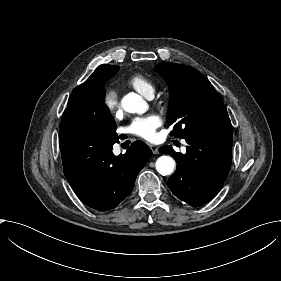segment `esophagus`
Masks as SVG:
<instances>
[{
	"label": "esophagus",
	"mask_w": 281,
	"mask_h": 281,
	"mask_svg": "<svg viewBox=\"0 0 281 281\" xmlns=\"http://www.w3.org/2000/svg\"><path fill=\"white\" fill-rule=\"evenodd\" d=\"M148 146L152 150L153 154H157L158 153V147L157 146H155L153 144H148Z\"/></svg>",
	"instance_id": "34e87169"
}]
</instances>
